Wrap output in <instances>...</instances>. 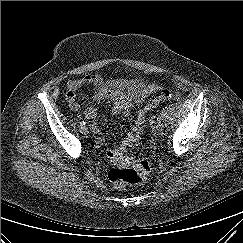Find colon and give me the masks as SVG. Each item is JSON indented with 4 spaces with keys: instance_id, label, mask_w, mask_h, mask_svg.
Masks as SVG:
<instances>
[{
    "instance_id": "colon-1",
    "label": "colon",
    "mask_w": 243,
    "mask_h": 243,
    "mask_svg": "<svg viewBox=\"0 0 243 243\" xmlns=\"http://www.w3.org/2000/svg\"><path fill=\"white\" fill-rule=\"evenodd\" d=\"M171 98V91L163 89L158 96L147 100L145 105L138 111L132 129L125 139L108 150L107 158L113 164L108 176L114 187L122 188L127 184H141L150 173L151 164L147 159H134L128 156L127 152L139 143L146 113Z\"/></svg>"
}]
</instances>
